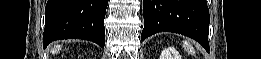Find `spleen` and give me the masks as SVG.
I'll list each match as a JSON object with an SVG mask.
<instances>
[{
    "label": "spleen",
    "instance_id": "spleen-1",
    "mask_svg": "<svg viewBox=\"0 0 261 59\" xmlns=\"http://www.w3.org/2000/svg\"><path fill=\"white\" fill-rule=\"evenodd\" d=\"M183 47L185 48V50L192 54V55H195V49L193 47V45L189 42V41H184L183 42Z\"/></svg>",
    "mask_w": 261,
    "mask_h": 59
}]
</instances>
